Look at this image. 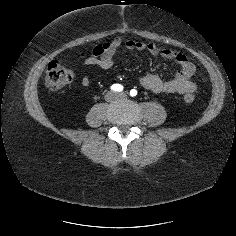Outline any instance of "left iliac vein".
Segmentation results:
<instances>
[{"label":"left iliac vein","mask_w":236,"mask_h":236,"mask_svg":"<svg viewBox=\"0 0 236 236\" xmlns=\"http://www.w3.org/2000/svg\"><path fill=\"white\" fill-rule=\"evenodd\" d=\"M127 96V94L125 92H121L118 94L119 98H125Z\"/></svg>","instance_id":"obj_1"}]
</instances>
